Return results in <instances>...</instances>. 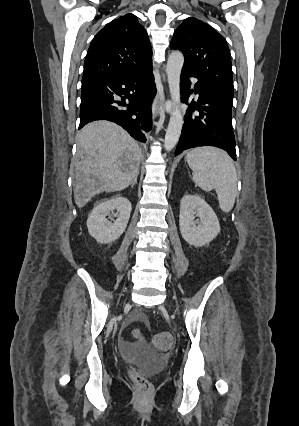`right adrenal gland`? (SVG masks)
<instances>
[{
	"label": "right adrenal gland",
	"instance_id": "right-adrenal-gland-1",
	"mask_svg": "<svg viewBox=\"0 0 299 426\" xmlns=\"http://www.w3.org/2000/svg\"><path fill=\"white\" fill-rule=\"evenodd\" d=\"M137 183V177L134 178V180L132 181V186L135 185Z\"/></svg>",
	"mask_w": 299,
	"mask_h": 426
}]
</instances>
